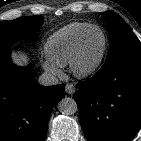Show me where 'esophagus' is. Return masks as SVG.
<instances>
[{"instance_id": "esophagus-1", "label": "esophagus", "mask_w": 141, "mask_h": 141, "mask_svg": "<svg viewBox=\"0 0 141 141\" xmlns=\"http://www.w3.org/2000/svg\"><path fill=\"white\" fill-rule=\"evenodd\" d=\"M65 91L66 93L68 94H73L75 92V86L72 84V83H68L66 86H65Z\"/></svg>"}]
</instances>
